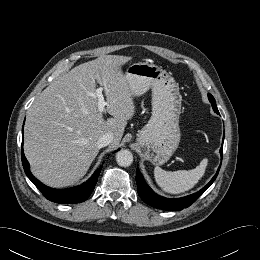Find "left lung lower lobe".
<instances>
[{
  "mask_svg": "<svg viewBox=\"0 0 260 260\" xmlns=\"http://www.w3.org/2000/svg\"><path fill=\"white\" fill-rule=\"evenodd\" d=\"M220 153L222 156L223 153V145L220 149ZM220 167L218 168L217 173L215 174V176L212 178V180L204 187L202 188L200 191L186 196V197H182V198H177V199H168L162 196L157 195L156 193L153 192V190L145 183L143 176L141 175V173L139 172V170L137 169L136 171V182H137V192L139 194V196L142 198V200L153 206L156 207L158 209H162V210H182L184 208L189 207L193 202H195L198 197L207 190V188L214 182V180L216 179L218 172H219Z\"/></svg>",
  "mask_w": 260,
  "mask_h": 260,
  "instance_id": "0a47b994",
  "label": "left lung lower lobe"
}]
</instances>
